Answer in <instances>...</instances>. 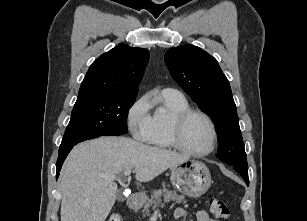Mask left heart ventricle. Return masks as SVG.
<instances>
[{
	"label": "left heart ventricle",
	"mask_w": 307,
	"mask_h": 221,
	"mask_svg": "<svg viewBox=\"0 0 307 221\" xmlns=\"http://www.w3.org/2000/svg\"><path fill=\"white\" fill-rule=\"evenodd\" d=\"M212 133L208 122L201 116H192L182 133L183 145L193 152H204L211 145Z\"/></svg>",
	"instance_id": "left-heart-ventricle-1"
}]
</instances>
